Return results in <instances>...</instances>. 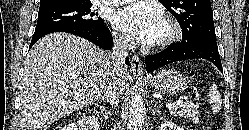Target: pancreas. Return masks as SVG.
<instances>
[{
  "label": "pancreas",
  "mask_w": 249,
  "mask_h": 130,
  "mask_svg": "<svg viewBox=\"0 0 249 130\" xmlns=\"http://www.w3.org/2000/svg\"><path fill=\"white\" fill-rule=\"evenodd\" d=\"M197 109L198 105L193 103H186L182 105L180 108L173 109L172 114L176 117H183L184 119H188L194 124H198L199 111Z\"/></svg>",
  "instance_id": "pancreas-1"
}]
</instances>
